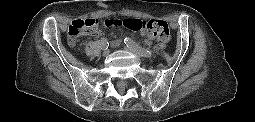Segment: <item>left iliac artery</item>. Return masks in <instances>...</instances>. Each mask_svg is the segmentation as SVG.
Wrapping results in <instances>:
<instances>
[{"label": "left iliac artery", "instance_id": "left-iliac-artery-1", "mask_svg": "<svg viewBox=\"0 0 255 122\" xmlns=\"http://www.w3.org/2000/svg\"><path fill=\"white\" fill-rule=\"evenodd\" d=\"M124 43L131 47L133 50L139 52L142 56L144 57H152V52L147 50V49H143L142 47H140L139 45H137L132 39L125 37L124 38Z\"/></svg>", "mask_w": 255, "mask_h": 122}]
</instances>
